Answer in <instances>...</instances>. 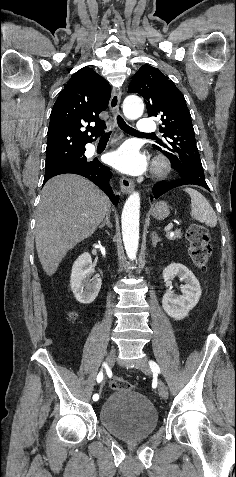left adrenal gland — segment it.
I'll return each instance as SVG.
<instances>
[{
    "mask_svg": "<svg viewBox=\"0 0 236 477\" xmlns=\"http://www.w3.org/2000/svg\"><path fill=\"white\" fill-rule=\"evenodd\" d=\"M160 241H161V239L158 238L156 232H152V244H153V246L156 247L157 243L160 242Z\"/></svg>",
    "mask_w": 236,
    "mask_h": 477,
    "instance_id": "1",
    "label": "left adrenal gland"
}]
</instances>
